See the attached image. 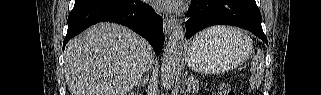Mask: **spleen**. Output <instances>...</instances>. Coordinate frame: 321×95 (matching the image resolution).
<instances>
[{"label": "spleen", "mask_w": 321, "mask_h": 95, "mask_svg": "<svg viewBox=\"0 0 321 95\" xmlns=\"http://www.w3.org/2000/svg\"><path fill=\"white\" fill-rule=\"evenodd\" d=\"M233 31H234L233 28L218 26V27L209 28L204 32H202V34H206L208 36H219L222 34L231 33ZM264 70H265L264 54L261 50H258L256 55L253 57L251 61L250 85L253 88H258L261 85V82L264 76Z\"/></svg>", "instance_id": "3e777b00"}]
</instances>
